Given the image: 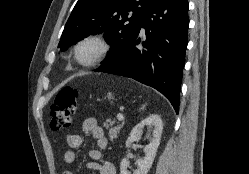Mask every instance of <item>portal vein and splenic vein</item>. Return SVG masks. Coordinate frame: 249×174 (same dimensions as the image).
Masks as SVG:
<instances>
[{"label":"portal vein and splenic vein","instance_id":"obj_1","mask_svg":"<svg viewBox=\"0 0 249 174\" xmlns=\"http://www.w3.org/2000/svg\"><path fill=\"white\" fill-rule=\"evenodd\" d=\"M117 119L119 121H123L124 120V116L121 113H119V114H117Z\"/></svg>","mask_w":249,"mask_h":174}]
</instances>
